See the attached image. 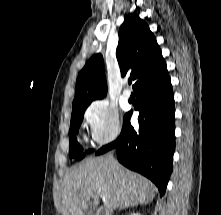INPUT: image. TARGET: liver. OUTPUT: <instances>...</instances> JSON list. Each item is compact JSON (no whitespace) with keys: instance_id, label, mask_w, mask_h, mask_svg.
<instances>
[{"instance_id":"6515ba94","label":"liver","mask_w":221,"mask_h":215,"mask_svg":"<svg viewBox=\"0 0 221 215\" xmlns=\"http://www.w3.org/2000/svg\"><path fill=\"white\" fill-rule=\"evenodd\" d=\"M62 214L82 215L90 198L103 199L107 213L155 198L156 187L147 178L127 170L109 156L88 158L67 173L62 183Z\"/></svg>"}]
</instances>
